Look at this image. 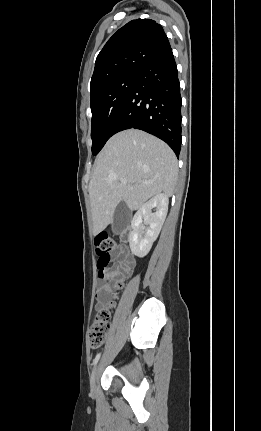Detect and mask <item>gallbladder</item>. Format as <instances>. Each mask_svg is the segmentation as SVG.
<instances>
[{"instance_id":"bac80fb5","label":"gallbladder","mask_w":261,"mask_h":431,"mask_svg":"<svg viewBox=\"0 0 261 431\" xmlns=\"http://www.w3.org/2000/svg\"><path fill=\"white\" fill-rule=\"evenodd\" d=\"M131 218V212L127 205L122 201L115 209L112 220V231L115 234H120L128 226Z\"/></svg>"}]
</instances>
